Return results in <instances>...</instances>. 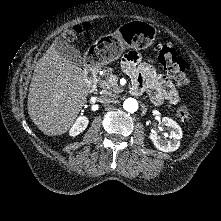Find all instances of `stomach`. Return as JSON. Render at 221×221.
<instances>
[{"mask_svg": "<svg viewBox=\"0 0 221 221\" xmlns=\"http://www.w3.org/2000/svg\"><path fill=\"white\" fill-rule=\"evenodd\" d=\"M156 30L148 21H132L126 26L118 27L113 36L100 37L85 53V58L98 66L117 60L124 47L145 50L153 42Z\"/></svg>", "mask_w": 221, "mask_h": 221, "instance_id": "obj_1", "label": "stomach"}]
</instances>
